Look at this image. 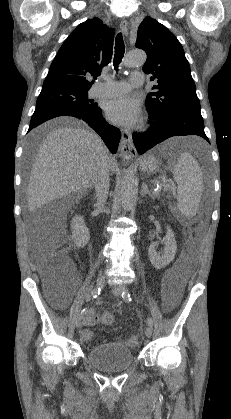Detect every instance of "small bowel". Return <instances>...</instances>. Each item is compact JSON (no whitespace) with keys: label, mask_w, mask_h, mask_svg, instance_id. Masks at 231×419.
Returning <instances> with one entry per match:
<instances>
[{"label":"small bowel","mask_w":231,"mask_h":419,"mask_svg":"<svg viewBox=\"0 0 231 419\" xmlns=\"http://www.w3.org/2000/svg\"><path fill=\"white\" fill-rule=\"evenodd\" d=\"M180 299V290L175 278L166 277L163 280V306L166 311L172 310L178 304ZM99 321L98 315L92 310L87 313L84 320V328L81 330V338L87 343L93 338V331L90 327L96 325Z\"/></svg>","instance_id":"obj_1"}]
</instances>
